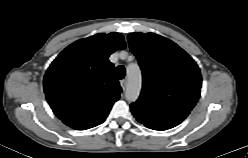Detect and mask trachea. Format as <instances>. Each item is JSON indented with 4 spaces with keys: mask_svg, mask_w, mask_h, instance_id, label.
Returning a JSON list of instances; mask_svg holds the SVG:
<instances>
[{
    "mask_svg": "<svg viewBox=\"0 0 248 158\" xmlns=\"http://www.w3.org/2000/svg\"><path fill=\"white\" fill-rule=\"evenodd\" d=\"M116 76L118 79H123L125 77V68L124 66H118L116 68Z\"/></svg>",
    "mask_w": 248,
    "mask_h": 158,
    "instance_id": "obj_1",
    "label": "trachea"
}]
</instances>
